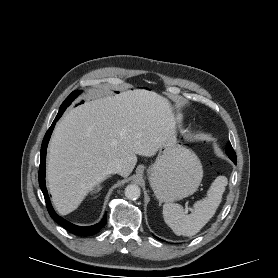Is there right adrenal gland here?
Returning a JSON list of instances; mask_svg holds the SVG:
<instances>
[{
  "label": "right adrenal gland",
  "instance_id": "obj_1",
  "mask_svg": "<svg viewBox=\"0 0 278 278\" xmlns=\"http://www.w3.org/2000/svg\"><path fill=\"white\" fill-rule=\"evenodd\" d=\"M109 177H111V176H110V175L107 176L104 180H106V179L109 178ZM101 189H102L101 185H98V188H97V190L94 191V193L100 191Z\"/></svg>",
  "mask_w": 278,
  "mask_h": 278
}]
</instances>
